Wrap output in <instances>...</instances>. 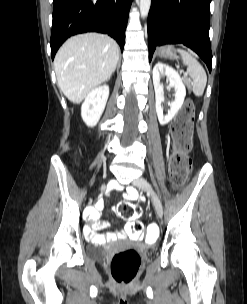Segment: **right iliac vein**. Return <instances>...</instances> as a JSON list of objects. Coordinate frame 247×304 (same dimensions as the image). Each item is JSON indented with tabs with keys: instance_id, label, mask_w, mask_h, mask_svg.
Segmentation results:
<instances>
[{
	"instance_id": "63e3f726",
	"label": "right iliac vein",
	"mask_w": 247,
	"mask_h": 304,
	"mask_svg": "<svg viewBox=\"0 0 247 304\" xmlns=\"http://www.w3.org/2000/svg\"><path fill=\"white\" fill-rule=\"evenodd\" d=\"M105 190V185H102L101 186V191H104Z\"/></svg>"
}]
</instances>
